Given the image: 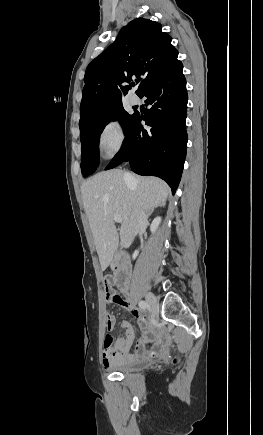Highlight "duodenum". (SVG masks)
<instances>
[{
    "label": "duodenum",
    "instance_id": "410a0bca",
    "mask_svg": "<svg viewBox=\"0 0 263 435\" xmlns=\"http://www.w3.org/2000/svg\"><path fill=\"white\" fill-rule=\"evenodd\" d=\"M115 270L118 280V286L124 292L129 290V262L128 256L124 252H118L115 255Z\"/></svg>",
    "mask_w": 263,
    "mask_h": 435
}]
</instances>
